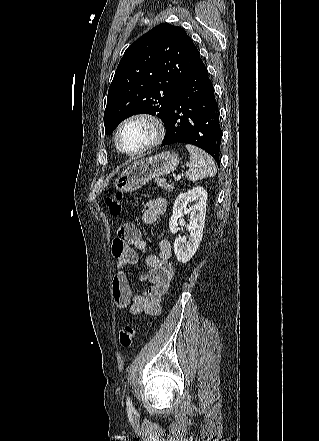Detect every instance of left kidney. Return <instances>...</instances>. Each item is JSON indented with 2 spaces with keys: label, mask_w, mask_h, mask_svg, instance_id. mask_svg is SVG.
Returning a JSON list of instances; mask_svg holds the SVG:
<instances>
[{
  "label": "left kidney",
  "mask_w": 319,
  "mask_h": 441,
  "mask_svg": "<svg viewBox=\"0 0 319 441\" xmlns=\"http://www.w3.org/2000/svg\"><path fill=\"white\" fill-rule=\"evenodd\" d=\"M193 202V205L187 209V204ZM207 193L203 187H195L188 192L180 194L174 203L173 214L169 221L171 233L176 234L179 225L186 226L190 231L189 240L186 242L181 236L176 237L174 241V252L177 260L181 263H187L196 253L203 235V229L206 216ZM190 212L189 224L185 225L181 220L184 211Z\"/></svg>",
  "instance_id": "obj_1"
}]
</instances>
